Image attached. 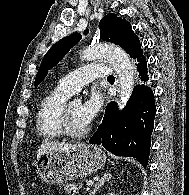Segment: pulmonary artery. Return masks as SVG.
Instances as JSON below:
<instances>
[{
  "instance_id": "e3ab8cb5",
  "label": "pulmonary artery",
  "mask_w": 189,
  "mask_h": 195,
  "mask_svg": "<svg viewBox=\"0 0 189 195\" xmlns=\"http://www.w3.org/2000/svg\"><path fill=\"white\" fill-rule=\"evenodd\" d=\"M109 72L107 65L93 63L76 69L63 77L59 85L71 94L78 92L94 79L105 78Z\"/></svg>"
}]
</instances>
